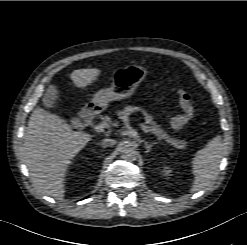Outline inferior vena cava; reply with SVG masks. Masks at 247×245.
I'll use <instances>...</instances> for the list:
<instances>
[{"mask_svg":"<svg viewBox=\"0 0 247 245\" xmlns=\"http://www.w3.org/2000/svg\"><path fill=\"white\" fill-rule=\"evenodd\" d=\"M115 143H116V141L114 139H111V138L103 139V144H106L107 146L108 145H114Z\"/></svg>","mask_w":247,"mask_h":245,"instance_id":"1","label":"inferior vena cava"}]
</instances>
